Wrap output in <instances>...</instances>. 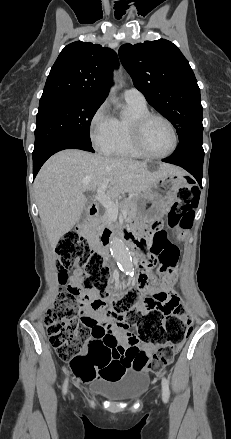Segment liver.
I'll return each instance as SVG.
<instances>
[{
  "label": "liver",
  "mask_w": 231,
  "mask_h": 439,
  "mask_svg": "<svg viewBox=\"0 0 231 439\" xmlns=\"http://www.w3.org/2000/svg\"><path fill=\"white\" fill-rule=\"evenodd\" d=\"M176 166L160 163L150 171L147 163L124 158H108L77 149L53 155L35 179L39 216L54 249L60 238L80 219L85 205L83 193L106 183V195L115 198L122 192L149 190L160 178L181 174Z\"/></svg>",
  "instance_id": "6515ba94"
}]
</instances>
